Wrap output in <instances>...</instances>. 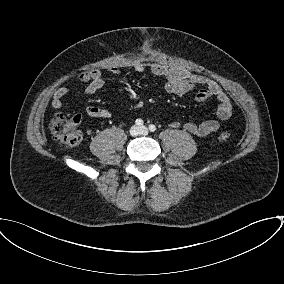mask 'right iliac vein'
<instances>
[{
  "instance_id": "right-iliac-vein-1",
  "label": "right iliac vein",
  "mask_w": 284,
  "mask_h": 284,
  "mask_svg": "<svg viewBox=\"0 0 284 284\" xmlns=\"http://www.w3.org/2000/svg\"><path fill=\"white\" fill-rule=\"evenodd\" d=\"M139 132H140V129L137 126H132L131 129H130V134L132 136H137L139 134Z\"/></svg>"
}]
</instances>
